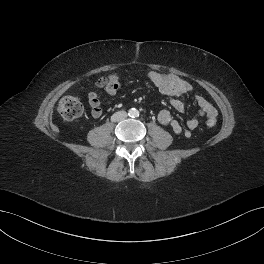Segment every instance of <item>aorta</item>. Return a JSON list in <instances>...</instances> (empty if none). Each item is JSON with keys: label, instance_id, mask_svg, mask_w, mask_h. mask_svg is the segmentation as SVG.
I'll use <instances>...</instances> for the list:
<instances>
[{"label": "aorta", "instance_id": "aorta-1", "mask_svg": "<svg viewBox=\"0 0 264 264\" xmlns=\"http://www.w3.org/2000/svg\"><path fill=\"white\" fill-rule=\"evenodd\" d=\"M130 115H131L132 117H134V116H138V115H139V112H138V110H136V109H131V110H130Z\"/></svg>", "mask_w": 264, "mask_h": 264}]
</instances>
